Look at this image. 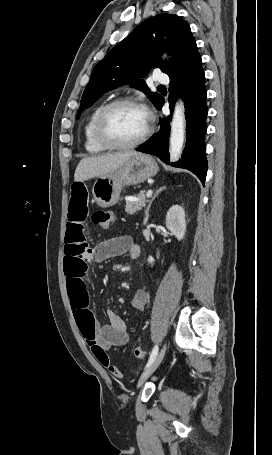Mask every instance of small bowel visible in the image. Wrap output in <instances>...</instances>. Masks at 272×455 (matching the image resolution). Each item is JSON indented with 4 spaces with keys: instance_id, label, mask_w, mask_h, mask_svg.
Wrapping results in <instances>:
<instances>
[{
    "instance_id": "c3829d8e",
    "label": "small bowel",
    "mask_w": 272,
    "mask_h": 455,
    "mask_svg": "<svg viewBox=\"0 0 272 455\" xmlns=\"http://www.w3.org/2000/svg\"><path fill=\"white\" fill-rule=\"evenodd\" d=\"M87 215L88 189L84 182L76 181L71 188L64 246V271L72 311L81 334L99 363L114 377L123 378L125 371L112 363L109 350L127 343L126 322L111 309L106 310L108 323L101 325L98 322L90 308L86 278L90 264L122 254L137 259L141 249L127 235L112 237L90 247L84 233ZM147 300V292L138 289L132 295L131 305L142 311Z\"/></svg>"
}]
</instances>
